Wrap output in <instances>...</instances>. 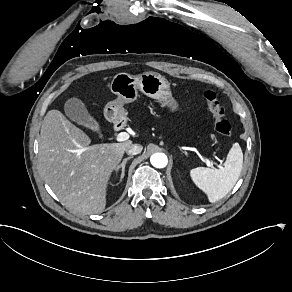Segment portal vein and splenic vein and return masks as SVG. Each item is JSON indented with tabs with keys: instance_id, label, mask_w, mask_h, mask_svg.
I'll list each match as a JSON object with an SVG mask.
<instances>
[{
	"instance_id": "18ae733b",
	"label": "portal vein and splenic vein",
	"mask_w": 292,
	"mask_h": 292,
	"mask_svg": "<svg viewBox=\"0 0 292 292\" xmlns=\"http://www.w3.org/2000/svg\"><path fill=\"white\" fill-rule=\"evenodd\" d=\"M129 139V134L127 133V132H121V133H119L118 134V136H117V141H126V140H128ZM206 164L208 165V166H212V163L209 161V160H206ZM218 167L219 168H222V166L221 165H218Z\"/></svg>"
}]
</instances>
